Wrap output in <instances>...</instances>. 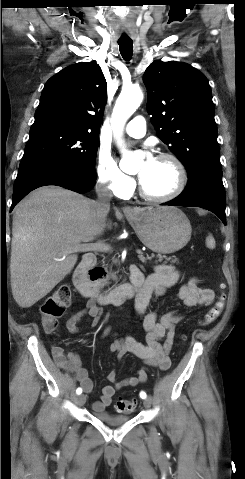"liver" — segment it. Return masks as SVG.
<instances>
[{
	"mask_svg": "<svg viewBox=\"0 0 245 479\" xmlns=\"http://www.w3.org/2000/svg\"><path fill=\"white\" fill-rule=\"evenodd\" d=\"M90 202L70 190L45 186L17 204L10 273L12 294L20 307L29 308L50 293L74 268L75 247L102 232Z\"/></svg>",
	"mask_w": 245,
	"mask_h": 479,
	"instance_id": "6515ba94",
	"label": "liver"
}]
</instances>
